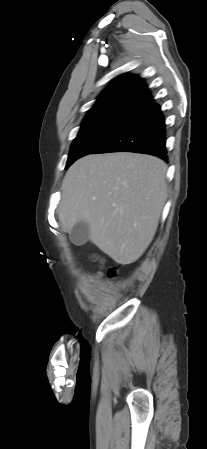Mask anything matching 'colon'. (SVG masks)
<instances>
[{"label":"colon","instance_id":"obj_1","mask_svg":"<svg viewBox=\"0 0 207 449\" xmlns=\"http://www.w3.org/2000/svg\"><path fill=\"white\" fill-rule=\"evenodd\" d=\"M91 260L94 261V262H99V263L102 262L101 258L98 257V256H96V255H92V256H91ZM109 274H110V275H114V274H115V270H110V271H109Z\"/></svg>","mask_w":207,"mask_h":449}]
</instances>
